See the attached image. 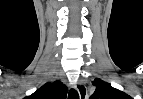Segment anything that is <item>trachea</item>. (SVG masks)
Returning <instances> with one entry per match:
<instances>
[{"mask_svg": "<svg viewBox=\"0 0 143 99\" xmlns=\"http://www.w3.org/2000/svg\"><path fill=\"white\" fill-rule=\"evenodd\" d=\"M68 99H79V94L75 89H70Z\"/></svg>", "mask_w": 143, "mask_h": 99, "instance_id": "3493384b", "label": "trachea"}]
</instances>
